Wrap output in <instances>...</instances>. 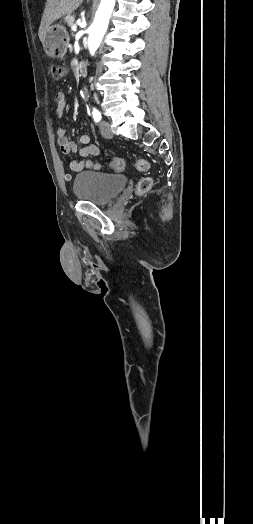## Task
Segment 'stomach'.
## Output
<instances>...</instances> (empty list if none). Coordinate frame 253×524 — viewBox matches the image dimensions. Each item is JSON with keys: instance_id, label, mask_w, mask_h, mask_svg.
<instances>
[{"instance_id": "1", "label": "stomach", "mask_w": 253, "mask_h": 524, "mask_svg": "<svg viewBox=\"0 0 253 524\" xmlns=\"http://www.w3.org/2000/svg\"><path fill=\"white\" fill-rule=\"evenodd\" d=\"M68 44L69 35L65 27L60 24L51 25L43 40V48L46 54L52 58H63Z\"/></svg>"}]
</instances>
